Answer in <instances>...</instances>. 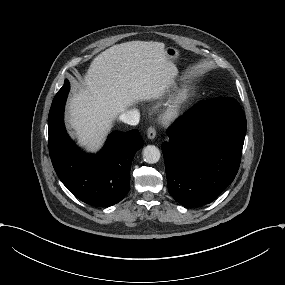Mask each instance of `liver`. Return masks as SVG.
<instances>
[{
    "mask_svg": "<svg viewBox=\"0 0 285 285\" xmlns=\"http://www.w3.org/2000/svg\"><path fill=\"white\" fill-rule=\"evenodd\" d=\"M177 67L165 44L128 42L99 55L69 103V124L83 144H100L112 118L128 106L159 97L175 84Z\"/></svg>",
    "mask_w": 285,
    "mask_h": 285,
    "instance_id": "liver-1",
    "label": "liver"
}]
</instances>
